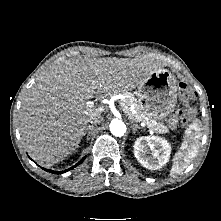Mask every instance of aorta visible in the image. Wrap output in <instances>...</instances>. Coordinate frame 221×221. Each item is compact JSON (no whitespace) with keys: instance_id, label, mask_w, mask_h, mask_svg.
Returning a JSON list of instances; mask_svg holds the SVG:
<instances>
[{"instance_id":"1","label":"aorta","mask_w":221,"mask_h":221,"mask_svg":"<svg viewBox=\"0 0 221 221\" xmlns=\"http://www.w3.org/2000/svg\"><path fill=\"white\" fill-rule=\"evenodd\" d=\"M126 125L120 119H113L110 123V131L116 137H121L126 133Z\"/></svg>"}]
</instances>
